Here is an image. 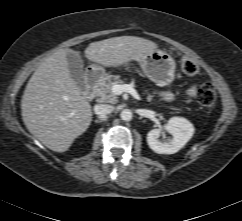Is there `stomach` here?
Instances as JSON below:
<instances>
[{"label": "stomach", "instance_id": "obj_1", "mask_svg": "<svg viewBox=\"0 0 242 221\" xmlns=\"http://www.w3.org/2000/svg\"><path fill=\"white\" fill-rule=\"evenodd\" d=\"M144 74L158 86L170 85L175 78L176 63L173 57L161 50L147 54L140 62ZM94 69L95 66H92ZM96 70L100 68L96 67ZM103 74H100L101 78Z\"/></svg>", "mask_w": 242, "mask_h": 221}]
</instances>
